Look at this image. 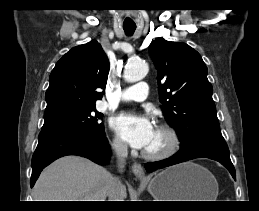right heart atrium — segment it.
Returning a JSON list of instances; mask_svg holds the SVG:
<instances>
[{"mask_svg":"<svg viewBox=\"0 0 259 211\" xmlns=\"http://www.w3.org/2000/svg\"><path fill=\"white\" fill-rule=\"evenodd\" d=\"M112 148L118 155H123L126 152V146L120 137L115 136L111 142Z\"/></svg>","mask_w":259,"mask_h":211,"instance_id":"1","label":"right heart atrium"}]
</instances>
